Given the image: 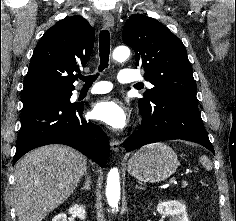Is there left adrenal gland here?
<instances>
[{
    "label": "left adrenal gland",
    "instance_id": "left-adrenal-gland-1",
    "mask_svg": "<svg viewBox=\"0 0 236 221\" xmlns=\"http://www.w3.org/2000/svg\"><path fill=\"white\" fill-rule=\"evenodd\" d=\"M135 188H136V189H140V190H144V189H145L144 187L139 186L138 184L135 185Z\"/></svg>",
    "mask_w": 236,
    "mask_h": 221
}]
</instances>
